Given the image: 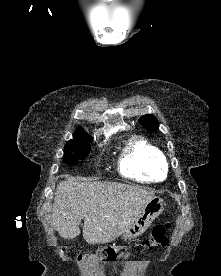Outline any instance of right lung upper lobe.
Segmentation results:
<instances>
[{
    "label": "right lung upper lobe",
    "instance_id": "1",
    "mask_svg": "<svg viewBox=\"0 0 221 276\" xmlns=\"http://www.w3.org/2000/svg\"><path fill=\"white\" fill-rule=\"evenodd\" d=\"M73 140H70L69 142H90L91 138L89 135H87L81 128H78V130L75 131L73 134Z\"/></svg>",
    "mask_w": 221,
    "mask_h": 276
}]
</instances>
